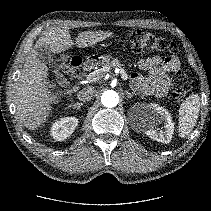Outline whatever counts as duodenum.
Returning <instances> with one entry per match:
<instances>
[{"label": "duodenum", "instance_id": "obj_1", "mask_svg": "<svg viewBox=\"0 0 211 211\" xmlns=\"http://www.w3.org/2000/svg\"><path fill=\"white\" fill-rule=\"evenodd\" d=\"M97 60L90 58L87 61H85L83 64H81L80 68L78 70L74 71V76H80L83 74V72L90 71L93 69V67L96 65Z\"/></svg>", "mask_w": 211, "mask_h": 211}]
</instances>
